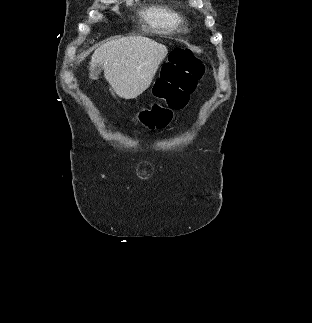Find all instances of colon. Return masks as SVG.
Wrapping results in <instances>:
<instances>
[{
	"instance_id": "1",
	"label": "colon",
	"mask_w": 312,
	"mask_h": 323,
	"mask_svg": "<svg viewBox=\"0 0 312 323\" xmlns=\"http://www.w3.org/2000/svg\"><path fill=\"white\" fill-rule=\"evenodd\" d=\"M203 72L202 60L192 51L175 49L164 68V78L156 80L157 95L167 105L143 108L140 113L142 124L148 128H165L168 122L172 121L171 110H178L185 105L188 95L194 90L195 80L200 78Z\"/></svg>"
}]
</instances>
